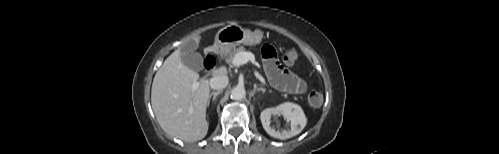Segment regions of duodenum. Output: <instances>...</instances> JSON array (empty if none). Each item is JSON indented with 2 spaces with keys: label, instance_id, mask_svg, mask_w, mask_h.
I'll list each match as a JSON object with an SVG mask.
<instances>
[{
  "label": "duodenum",
  "instance_id": "410a0bca",
  "mask_svg": "<svg viewBox=\"0 0 499 154\" xmlns=\"http://www.w3.org/2000/svg\"><path fill=\"white\" fill-rule=\"evenodd\" d=\"M216 58V52L215 50L213 49H210L208 52H207V56H206V60H205V67L207 70H210L212 69L208 64H207V61L208 59H214L215 60Z\"/></svg>",
  "mask_w": 499,
  "mask_h": 154
}]
</instances>
